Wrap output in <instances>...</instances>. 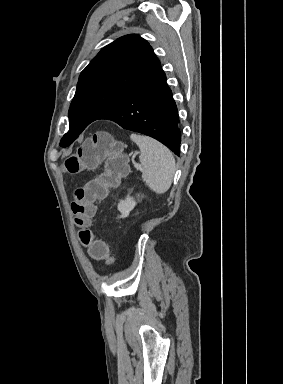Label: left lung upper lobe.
I'll list each match as a JSON object with an SVG mask.
<instances>
[{
	"mask_svg": "<svg viewBox=\"0 0 283 384\" xmlns=\"http://www.w3.org/2000/svg\"><path fill=\"white\" fill-rule=\"evenodd\" d=\"M160 66L149 43L137 34L107 45L81 72L69 108V131L60 146L67 147L93 121L119 104Z\"/></svg>",
	"mask_w": 283,
	"mask_h": 384,
	"instance_id": "left-lung-upper-lobe-1",
	"label": "left lung upper lobe"
}]
</instances>
